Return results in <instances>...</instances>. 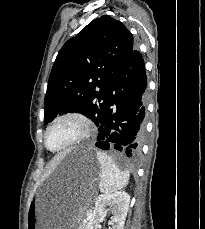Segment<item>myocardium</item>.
<instances>
[{
    "instance_id": "obj_1",
    "label": "myocardium",
    "mask_w": 205,
    "mask_h": 229,
    "mask_svg": "<svg viewBox=\"0 0 205 229\" xmlns=\"http://www.w3.org/2000/svg\"><path fill=\"white\" fill-rule=\"evenodd\" d=\"M65 120L74 121L79 127V132L72 140H70L69 142H67L63 146L52 149L48 146V143H47L48 134H49L50 130L57 123H59L61 121H65ZM91 127H92V124H91L90 118L86 114H84L80 111H67V112L61 113V114L57 115L46 127V130H45L44 136H43L44 146L47 150H49L51 152H60V151L69 149V148L83 142L89 136V134L91 132Z\"/></svg>"
}]
</instances>
